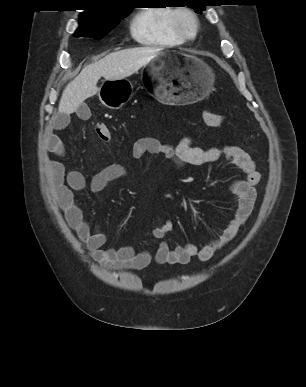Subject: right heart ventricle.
<instances>
[{"mask_svg": "<svg viewBox=\"0 0 306 387\" xmlns=\"http://www.w3.org/2000/svg\"><path fill=\"white\" fill-rule=\"evenodd\" d=\"M176 8L152 6L139 10L130 21L131 37L140 45L172 48L185 43L174 30L172 18Z\"/></svg>", "mask_w": 306, "mask_h": 387, "instance_id": "obj_1", "label": "right heart ventricle"}]
</instances>
